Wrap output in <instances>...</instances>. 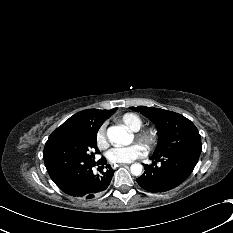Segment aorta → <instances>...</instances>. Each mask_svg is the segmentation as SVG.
Segmentation results:
<instances>
[{
  "label": "aorta",
  "mask_w": 233,
  "mask_h": 233,
  "mask_svg": "<svg viewBox=\"0 0 233 233\" xmlns=\"http://www.w3.org/2000/svg\"><path fill=\"white\" fill-rule=\"evenodd\" d=\"M107 136L111 144L115 146L128 145L132 142V135L127 132L123 126H111L107 130ZM143 166L139 163H134L130 167L131 174L140 176Z\"/></svg>",
  "instance_id": "1"
}]
</instances>
